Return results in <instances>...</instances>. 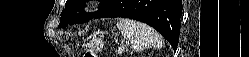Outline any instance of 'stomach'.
<instances>
[{"mask_svg":"<svg viewBox=\"0 0 249 57\" xmlns=\"http://www.w3.org/2000/svg\"><path fill=\"white\" fill-rule=\"evenodd\" d=\"M104 46V42L102 41L101 38H93L90 43L89 47L95 50L96 52H100Z\"/></svg>","mask_w":249,"mask_h":57,"instance_id":"0dacf381","label":"stomach"}]
</instances>
